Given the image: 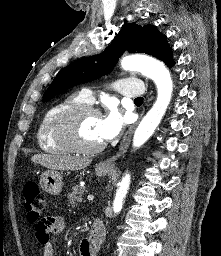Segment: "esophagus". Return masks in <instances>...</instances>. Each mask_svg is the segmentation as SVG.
<instances>
[{
  "mask_svg": "<svg viewBox=\"0 0 221 256\" xmlns=\"http://www.w3.org/2000/svg\"><path fill=\"white\" fill-rule=\"evenodd\" d=\"M143 114V113H142ZM137 123H135L134 125H132L129 130L125 133L121 143H120V146H119V149L117 151V153L112 156L111 158L109 159H106L102 162H100V166L101 167H105V168H114L115 167V164H116V161L122 156V154L125 152L128 144H129V141H130V138L132 136V133L136 127Z\"/></svg>",
  "mask_w": 221,
  "mask_h": 256,
  "instance_id": "1",
  "label": "esophagus"
}]
</instances>
